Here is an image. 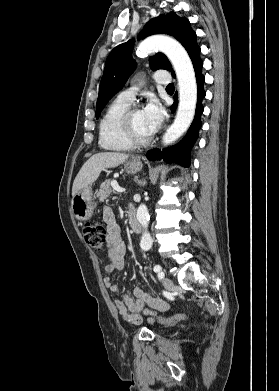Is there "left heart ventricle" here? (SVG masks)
Here are the masks:
<instances>
[{"mask_svg":"<svg viewBox=\"0 0 279 391\" xmlns=\"http://www.w3.org/2000/svg\"><path fill=\"white\" fill-rule=\"evenodd\" d=\"M132 120H133L134 129L140 137H147L152 134L145 120L142 109L137 110L133 114Z\"/></svg>","mask_w":279,"mask_h":391,"instance_id":"b2bd125f","label":"left heart ventricle"}]
</instances>
